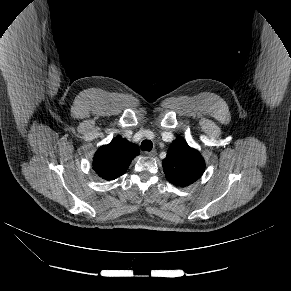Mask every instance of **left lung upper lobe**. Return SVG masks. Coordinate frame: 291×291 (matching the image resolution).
Segmentation results:
<instances>
[{"label":"left lung upper lobe","mask_w":291,"mask_h":291,"mask_svg":"<svg viewBox=\"0 0 291 291\" xmlns=\"http://www.w3.org/2000/svg\"><path fill=\"white\" fill-rule=\"evenodd\" d=\"M162 165L168 181L180 187L194 183L205 170L201 154L181 137L172 142Z\"/></svg>","instance_id":"obj_1"}]
</instances>
